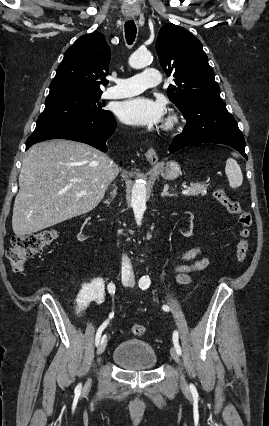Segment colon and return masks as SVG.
Returning a JSON list of instances; mask_svg holds the SVG:
<instances>
[{"mask_svg": "<svg viewBox=\"0 0 269 426\" xmlns=\"http://www.w3.org/2000/svg\"><path fill=\"white\" fill-rule=\"evenodd\" d=\"M213 198L230 214L237 215L240 225L239 240L236 247V259L243 262L246 259L249 249L248 237L253 224L252 215L244 210L240 203L230 198L223 189H215ZM56 239V232L53 229H44L34 233L16 235L12 238L11 247L6 252V257L15 271H22L28 258L41 252ZM131 331L136 336L145 333L143 324H133Z\"/></svg>", "mask_w": 269, "mask_h": 426, "instance_id": "5ec220e1", "label": "colon"}]
</instances>
